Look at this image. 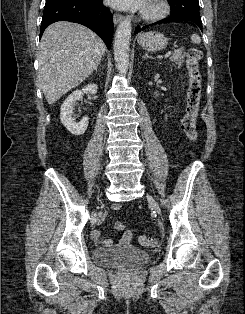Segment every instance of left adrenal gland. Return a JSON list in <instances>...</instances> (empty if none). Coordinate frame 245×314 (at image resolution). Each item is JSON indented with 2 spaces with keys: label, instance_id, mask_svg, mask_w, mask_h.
I'll use <instances>...</instances> for the list:
<instances>
[{
  "label": "left adrenal gland",
  "instance_id": "a2214340",
  "mask_svg": "<svg viewBox=\"0 0 245 314\" xmlns=\"http://www.w3.org/2000/svg\"><path fill=\"white\" fill-rule=\"evenodd\" d=\"M142 58L147 59V58H152V56H150V55H148V53H146Z\"/></svg>",
  "mask_w": 245,
  "mask_h": 314
}]
</instances>
